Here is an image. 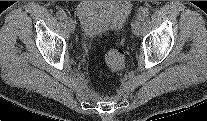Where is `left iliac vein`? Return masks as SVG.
Returning a JSON list of instances; mask_svg holds the SVG:
<instances>
[{
  "instance_id": "4c4485c4",
  "label": "left iliac vein",
  "mask_w": 207,
  "mask_h": 121,
  "mask_svg": "<svg viewBox=\"0 0 207 121\" xmlns=\"http://www.w3.org/2000/svg\"><path fill=\"white\" fill-rule=\"evenodd\" d=\"M142 18L138 17L133 24L134 35H139L141 31Z\"/></svg>"
}]
</instances>
